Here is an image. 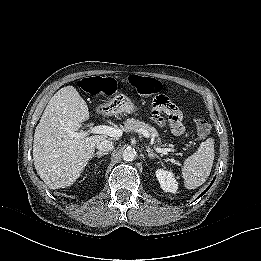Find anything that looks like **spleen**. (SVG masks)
Returning <instances> with one entry per match:
<instances>
[{
  "label": "spleen",
  "instance_id": "3e777b00",
  "mask_svg": "<svg viewBox=\"0 0 261 261\" xmlns=\"http://www.w3.org/2000/svg\"><path fill=\"white\" fill-rule=\"evenodd\" d=\"M213 161L214 148L212 141L206 140L184 162L182 176L185 187L187 189H195L201 186L210 175Z\"/></svg>",
  "mask_w": 261,
  "mask_h": 261
}]
</instances>
